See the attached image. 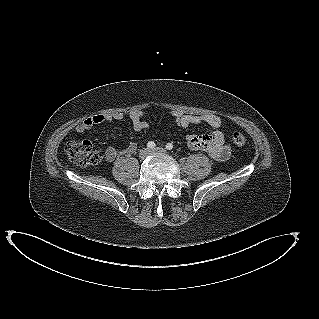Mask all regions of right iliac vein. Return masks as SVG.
I'll list each match as a JSON object with an SVG mask.
<instances>
[{
	"label": "right iliac vein",
	"instance_id": "right-iliac-vein-1",
	"mask_svg": "<svg viewBox=\"0 0 319 319\" xmlns=\"http://www.w3.org/2000/svg\"><path fill=\"white\" fill-rule=\"evenodd\" d=\"M150 154V150L148 148H143L139 151V157L141 159H145Z\"/></svg>",
	"mask_w": 319,
	"mask_h": 319
}]
</instances>
